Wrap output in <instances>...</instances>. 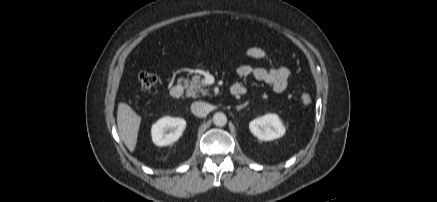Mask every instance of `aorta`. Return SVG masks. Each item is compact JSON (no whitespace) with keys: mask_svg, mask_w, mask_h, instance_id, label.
<instances>
[{"mask_svg":"<svg viewBox=\"0 0 437 202\" xmlns=\"http://www.w3.org/2000/svg\"><path fill=\"white\" fill-rule=\"evenodd\" d=\"M213 123L216 126L222 127L225 126L227 123V117L224 113L222 112H217L213 115Z\"/></svg>","mask_w":437,"mask_h":202,"instance_id":"762f6f07","label":"aorta"}]
</instances>
